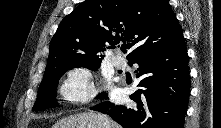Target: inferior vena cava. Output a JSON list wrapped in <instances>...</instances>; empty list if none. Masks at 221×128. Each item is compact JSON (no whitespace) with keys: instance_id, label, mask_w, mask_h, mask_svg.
Segmentation results:
<instances>
[{"instance_id":"1","label":"inferior vena cava","mask_w":221,"mask_h":128,"mask_svg":"<svg viewBox=\"0 0 221 128\" xmlns=\"http://www.w3.org/2000/svg\"><path fill=\"white\" fill-rule=\"evenodd\" d=\"M98 120L100 121V124L102 125L101 127L102 128H109L108 126V120L106 117L102 116V115H99L98 116Z\"/></svg>"}]
</instances>
